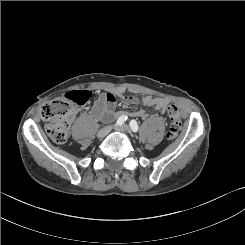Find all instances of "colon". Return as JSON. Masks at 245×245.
<instances>
[{
	"mask_svg": "<svg viewBox=\"0 0 245 245\" xmlns=\"http://www.w3.org/2000/svg\"><path fill=\"white\" fill-rule=\"evenodd\" d=\"M92 97L89 90H73L46 103L41 110V117L46 122V132L56 143H64L68 139L70 124L75 110L87 104ZM170 128L167 139L177 137L182 122L179 109L174 104L167 106Z\"/></svg>",
	"mask_w": 245,
	"mask_h": 245,
	"instance_id": "obj_1",
	"label": "colon"
}]
</instances>
